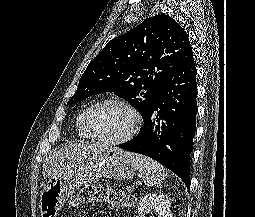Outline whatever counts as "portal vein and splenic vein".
<instances>
[{"label": "portal vein and splenic vein", "instance_id": "obj_1", "mask_svg": "<svg viewBox=\"0 0 255 217\" xmlns=\"http://www.w3.org/2000/svg\"><path fill=\"white\" fill-rule=\"evenodd\" d=\"M133 189H134V186H128V187H127V191H128V192H132Z\"/></svg>", "mask_w": 255, "mask_h": 217}]
</instances>
